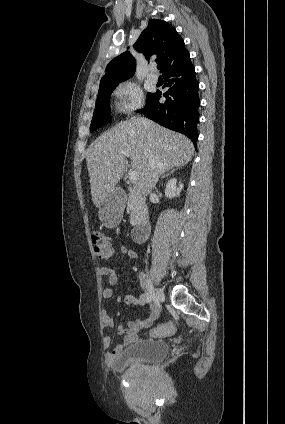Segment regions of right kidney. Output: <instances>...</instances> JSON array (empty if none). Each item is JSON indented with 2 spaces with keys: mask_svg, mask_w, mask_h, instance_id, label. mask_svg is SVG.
Returning <instances> with one entry per match:
<instances>
[{
  "mask_svg": "<svg viewBox=\"0 0 285 424\" xmlns=\"http://www.w3.org/2000/svg\"><path fill=\"white\" fill-rule=\"evenodd\" d=\"M182 189H183V184L179 183V187H177V179L172 178L166 184L165 196L170 199L180 196V192Z\"/></svg>",
  "mask_w": 285,
  "mask_h": 424,
  "instance_id": "right-kidney-1",
  "label": "right kidney"
}]
</instances>
